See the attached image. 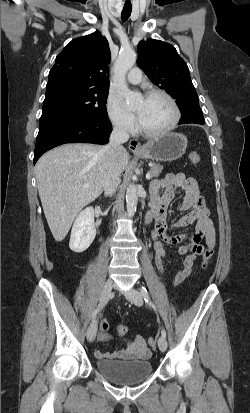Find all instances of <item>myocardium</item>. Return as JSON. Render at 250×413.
I'll use <instances>...</instances> for the list:
<instances>
[{"mask_svg":"<svg viewBox=\"0 0 250 413\" xmlns=\"http://www.w3.org/2000/svg\"><path fill=\"white\" fill-rule=\"evenodd\" d=\"M155 96H159V97H163L164 99H166L170 105L173 108L174 111V117L173 120L171 122V124L166 127L165 129H162L160 131H149L147 129H145L142 124L140 123L139 119H138V130L141 134H143L146 137L149 138H157V137H162L165 136L167 134H169L170 132H172L176 126L178 125L180 118H181V112H180V108L177 104V102L175 101V99L168 94L167 92L163 91V90H159V89H153V90H149L146 93V98H150V97H155Z\"/></svg>","mask_w":250,"mask_h":413,"instance_id":"1","label":"myocardium"}]
</instances>
